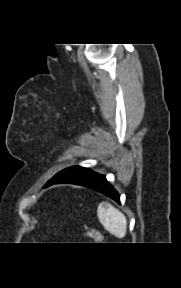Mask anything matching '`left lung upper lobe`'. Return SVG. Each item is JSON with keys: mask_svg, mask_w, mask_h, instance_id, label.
Returning <instances> with one entry per match:
<instances>
[{"mask_svg": "<svg viewBox=\"0 0 181 288\" xmlns=\"http://www.w3.org/2000/svg\"><path fill=\"white\" fill-rule=\"evenodd\" d=\"M92 174H94V172L88 168L75 166L60 171L49 181L76 184Z\"/></svg>", "mask_w": 181, "mask_h": 288, "instance_id": "1", "label": "left lung upper lobe"}]
</instances>
